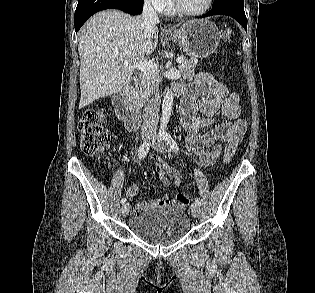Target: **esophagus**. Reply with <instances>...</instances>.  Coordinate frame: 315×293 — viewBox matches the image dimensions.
<instances>
[{"label":"esophagus","mask_w":315,"mask_h":293,"mask_svg":"<svg viewBox=\"0 0 315 293\" xmlns=\"http://www.w3.org/2000/svg\"><path fill=\"white\" fill-rule=\"evenodd\" d=\"M164 31L165 32H172L173 31V27L171 25H165Z\"/></svg>","instance_id":"esophagus-1"}]
</instances>
